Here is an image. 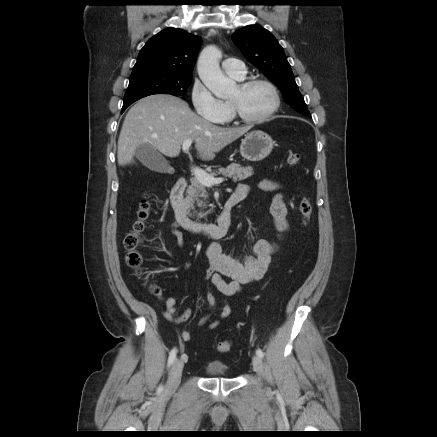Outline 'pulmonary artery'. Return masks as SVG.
I'll return each instance as SVG.
<instances>
[{"label": "pulmonary artery", "mask_w": 437, "mask_h": 437, "mask_svg": "<svg viewBox=\"0 0 437 437\" xmlns=\"http://www.w3.org/2000/svg\"><path fill=\"white\" fill-rule=\"evenodd\" d=\"M222 69L227 75L238 80L243 79L246 74L243 62L235 58L225 59L222 63Z\"/></svg>", "instance_id": "obj_1"}]
</instances>
